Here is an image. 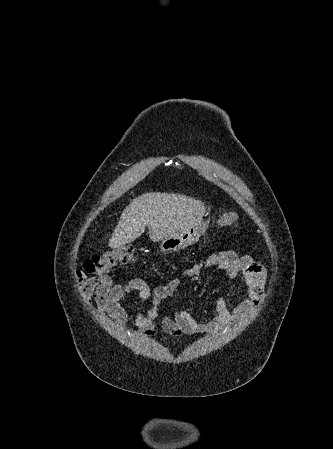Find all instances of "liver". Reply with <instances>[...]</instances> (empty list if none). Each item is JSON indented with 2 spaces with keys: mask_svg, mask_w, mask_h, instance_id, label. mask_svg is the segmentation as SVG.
<instances>
[{
  "mask_svg": "<svg viewBox=\"0 0 333 449\" xmlns=\"http://www.w3.org/2000/svg\"><path fill=\"white\" fill-rule=\"evenodd\" d=\"M204 204L180 194L150 192L136 197L122 212L108 246L119 249L141 236L145 227L153 242L176 236L205 213Z\"/></svg>",
  "mask_w": 333,
  "mask_h": 449,
  "instance_id": "6515ba94",
  "label": "liver"
}]
</instances>
